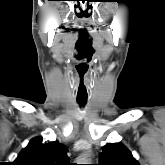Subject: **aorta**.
<instances>
[{"mask_svg": "<svg viewBox=\"0 0 165 165\" xmlns=\"http://www.w3.org/2000/svg\"><path fill=\"white\" fill-rule=\"evenodd\" d=\"M78 164H88V158L86 155H82L79 158H77Z\"/></svg>", "mask_w": 165, "mask_h": 165, "instance_id": "1", "label": "aorta"}]
</instances>
